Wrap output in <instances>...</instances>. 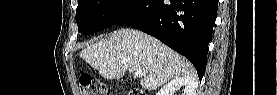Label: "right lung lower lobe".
I'll return each instance as SVG.
<instances>
[{
    "label": "right lung lower lobe",
    "mask_w": 277,
    "mask_h": 95,
    "mask_svg": "<svg viewBox=\"0 0 277 95\" xmlns=\"http://www.w3.org/2000/svg\"><path fill=\"white\" fill-rule=\"evenodd\" d=\"M218 0H142L116 25L154 36L188 58L201 80L217 16Z\"/></svg>",
    "instance_id": "obj_1"
}]
</instances>
